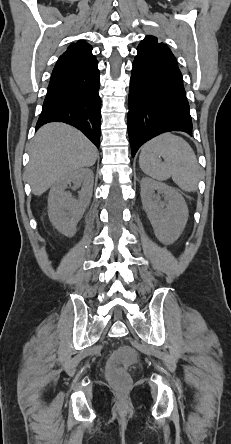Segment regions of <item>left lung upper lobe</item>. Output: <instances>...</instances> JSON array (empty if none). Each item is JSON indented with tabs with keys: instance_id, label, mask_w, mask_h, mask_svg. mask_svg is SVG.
Instances as JSON below:
<instances>
[{
	"instance_id": "1",
	"label": "left lung upper lobe",
	"mask_w": 231,
	"mask_h": 444,
	"mask_svg": "<svg viewBox=\"0 0 231 444\" xmlns=\"http://www.w3.org/2000/svg\"><path fill=\"white\" fill-rule=\"evenodd\" d=\"M137 51L162 54L175 59L170 49L165 44L159 43L153 36H146L139 44Z\"/></svg>"
}]
</instances>
